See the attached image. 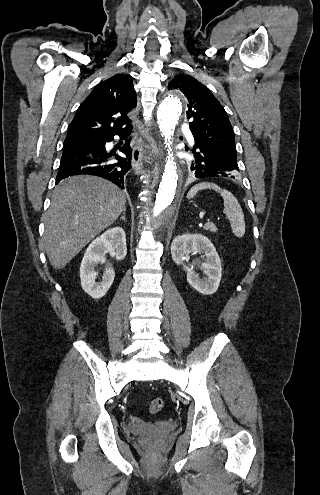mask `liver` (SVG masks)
I'll return each mask as SVG.
<instances>
[{
	"instance_id": "6515ba94",
	"label": "liver",
	"mask_w": 320,
	"mask_h": 495,
	"mask_svg": "<svg viewBox=\"0 0 320 495\" xmlns=\"http://www.w3.org/2000/svg\"><path fill=\"white\" fill-rule=\"evenodd\" d=\"M125 208V193L107 180L87 175L62 180L45 216L43 243L51 265L64 268Z\"/></svg>"
}]
</instances>
